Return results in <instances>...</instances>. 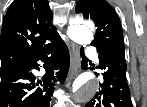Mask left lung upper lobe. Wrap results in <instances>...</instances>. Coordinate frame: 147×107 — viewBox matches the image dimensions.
I'll return each mask as SVG.
<instances>
[{
	"instance_id": "left-lung-upper-lobe-1",
	"label": "left lung upper lobe",
	"mask_w": 147,
	"mask_h": 107,
	"mask_svg": "<svg viewBox=\"0 0 147 107\" xmlns=\"http://www.w3.org/2000/svg\"><path fill=\"white\" fill-rule=\"evenodd\" d=\"M76 13L92 19L97 27L91 45L103 51L117 45L124 46L122 26L114 8L105 0H79Z\"/></svg>"
}]
</instances>
